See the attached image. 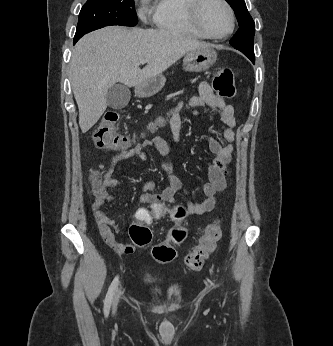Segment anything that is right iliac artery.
<instances>
[{
  "instance_id": "82829eb1",
  "label": "right iliac artery",
  "mask_w": 333,
  "mask_h": 346,
  "mask_svg": "<svg viewBox=\"0 0 333 346\" xmlns=\"http://www.w3.org/2000/svg\"><path fill=\"white\" fill-rule=\"evenodd\" d=\"M118 283H119V277L116 276L114 278V280L112 281L109 289H108V292H107V295H106V298H105V301H104V314H105L106 317L109 314L112 298H113L114 292H115V290H116V288L118 286Z\"/></svg>"
}]
</instances>
